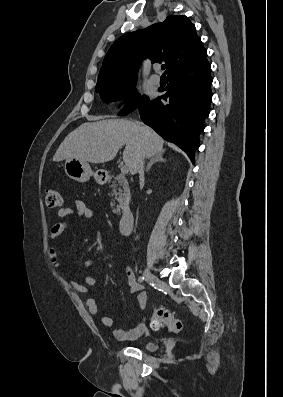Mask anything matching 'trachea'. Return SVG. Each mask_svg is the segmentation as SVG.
Returning a JSON list of instances; mask_svg holds the SVG:
<instances>
[{
    "label": "trachea",
    "mask_w": 283,
    "mask_h": 397,
    "mask_svg": "<svg viewBox=\"0 0 283 397\" xmlns=\"http://www.w3.org/2000/svg\"><path fill=\"white\" fill-rule=\"evenodd\" d=\"M161 69L162 70H164L165 69V65L163 64V65H161Z\"/></svg>",
    "instance_id": "3493384b"
}]
</instances>
